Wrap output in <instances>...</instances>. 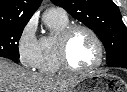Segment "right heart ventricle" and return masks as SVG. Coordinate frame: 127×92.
I'll list each match as a JSON object with an SVG mask.
<instances>
[{
    "mask_svg": "<svg viewBox=\"0 0 127 92\" xmlns=\"http://www.w3.org/2000/svg\"><path fill=\"white\" fill-rule=\"evenodd\" d=\"M45 22L53 34L39 39V61L36 68L42 74H58L63 71V68L58 58L57 40L60 33L69 26V19L66 15L47 12Z\"/></svg>",
    "mask_w": 127,
    "mask_h": 92,
    "instance_id": "e07e8e85",
    "label": "right heart ventricle"
}]
</instances>
